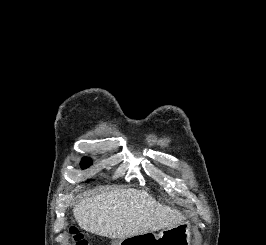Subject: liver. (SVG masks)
<instances>
[{
	"label": "liver",
	"instance_id": "1",
	"mask_svg": "<svg viewBox=\"0 0 266 245\" xmlns=\"http://www.w3.org/2000/svg\"><path fill=\"white\" fill-rule=\"evenodd\" d=\"M79 227L109 239H128L182 225L185 217L160 205L146 191L139 189H110L83 199L73 209Z\"/></svg>",
	"mask_w": 266,
	"mask_h": 245
}]
</instances>
